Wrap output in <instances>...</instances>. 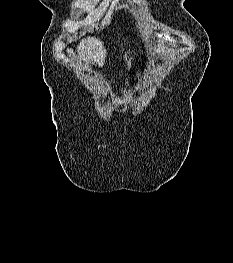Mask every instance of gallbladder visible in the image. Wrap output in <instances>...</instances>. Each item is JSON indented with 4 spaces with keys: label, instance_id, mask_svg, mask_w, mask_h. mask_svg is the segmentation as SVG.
Returning <instances> with one entry per match:
<instances>
[{
    "label": "gallbladder",
    "instance_id": "bac80fb5",
    "mask_svg": "<svg viewBox=\"0 0 233 263\" xmlns=\"http://www.w3.org/2000/svg\"><path fill=\"white\" fill-rule=\"evenodd\" d=\"M94 64H97V62H96V61H94Z\"/></svg>",
    "mask_w": 233,
    "mask_h": 263
}]
</instances>
